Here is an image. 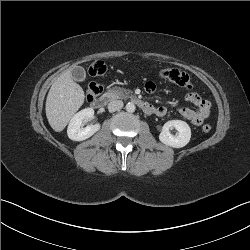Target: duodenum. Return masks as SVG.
Wrapping results in <instances>:
<instances>
[{"mask_svg": "<svg viewBox=\"0 0 250 250\" xmlns=\"http://www.w3.org/2000/svg\"><path fill=\"white\" fill-rule=\"evenodd\" d=\"M112 95L109 93H105L99 97H97L93 102L92 106L94 108H103L105 107L111 100H112ZM131 101L134 102L144 113L146 114H156V108L153 107L151 104L139 99L136 96H132Z\"/></svg>", "mask_w": 250, "mask_h": 250, "instance_id": "duodenum-1", "label": "duodenum"}]
</instances>
